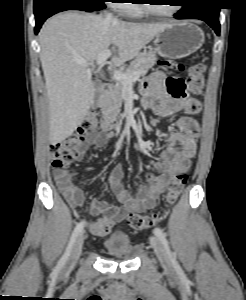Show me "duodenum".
<instances>
[{
	"label": "duodenum",
	"mask_w": 246,
	"mask_h": 300,
	"mask_svg": "<svg viewBox=\"0 0 246 300\" xmlns=\"http://www.w3.org/2000/svg\"><path fill=\"white\" fill-rule=\"evenodd\" d=\"M109 89V85L108 84H103L102 86V93L103 94H106L107 91ZM116 125V122L112 119H107L105 122H104V129L108 130V129H111L113 128L114 126Z\"/></svg>",
	"instance_id": "duodenum-1"
}]
</instances>
